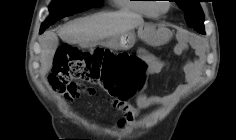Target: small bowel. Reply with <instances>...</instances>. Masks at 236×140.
<instances>
[{"instance_id":"c3829d8e","label":"small bowel","mask_w":236,"mask_h":140,"mask_svg":"<svg viewBox=\"0 0 236 140\" xmlns=\"http://www.w3.org/2000/svg\"><path fill=\"white\" fill-rule=\"evenodd\" d=\"M186 48L183 38L180 39L175 51L182 54ZM141 59L146 63L147 72L150 74L160 73L166 66L167 62L153 54L142 51ZM183 83L179 84L174 91L163 96L140 94L137 98L136 106L126 101L112 103V108L120 112L123 117L118 121L119 128H125L131 125L137 118L142 116V110L153 105H169L176 98L182 95L189 85L194 84L199 79V63L197 61H188L182 69Z\"/></svg>"}]
</instances>
